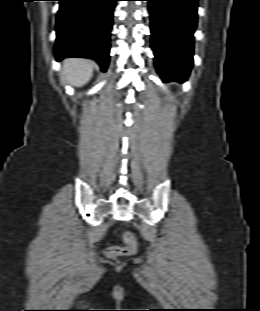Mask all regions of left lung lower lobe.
Segmentation results:
<instances>
[{
    "instance_id": "0a47b994",
    "label": "left lung lower lobe",
    "mask_w": 260,
    "mask_h": 311,
    "mask_svg": "<svg viewBox=\"0 0 260 311\" xmlns=\"http://www.w3.org/2000/svg\"><path fill=\"white\" fill-rule=\"evenodd\" d=\"M147 1L156 69L165 82H183L193 62L198 0Z\"/></svg>"
}]
</instances>
